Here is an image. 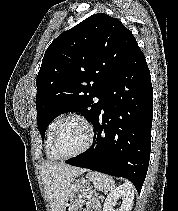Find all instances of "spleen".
I'll return each instance as SVG.
<instances>
[{
  "label": "spleen",
  "mask_w": 178,
  "mask_h": 211,
  "mask_svg": "<svg viewBox=\"0 0 178 211\" xmlns=\"http://www.w3.org/2000/svg\"><path fill=\"white\" fill-rule=\"evenodd\" d=\"M89 181L93 183L95 188L99 190H105L113 192L115 188V182L112 177L107 174H103L100 172H89L86 175Z\"/></svg>",
  "instance_id": "1"
}]
</instances>
